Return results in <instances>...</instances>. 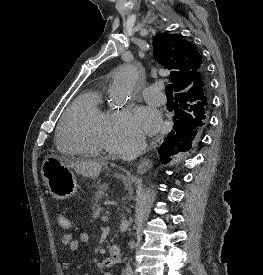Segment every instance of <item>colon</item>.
Returning a JSON list of instances; mask_svg holds the SVG:
<instances>
[{
	"mask_svg": "<svg viewBox=\"0 0 263 275\" xmlns=\"http://www.w3.org/2000/svg\"><path fill=\"white\" fill-rule=\"evenodd\" d=\"M57 222H58L59 226L64 230H68L71 227L70 218L67 215L63 214V213L58 215Z\"/></svg>",
	"mask_w": 263,
	"mask_h": 275,
	"instance_id": "colon-1",
	"label": "colon"
}]
</instances>
